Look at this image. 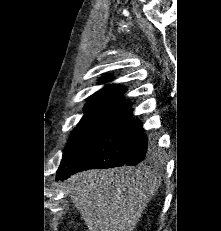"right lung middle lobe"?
I'll use <instances>...</instances> for the list:
<instances>
[{"label": "right lung middle lobe", "mask_w": 221, "mask_h": 231, "mask_svg": "<svg viewBox=\"0 0 221 231\" xmlns=\"http://www.w3.org/2000/svg\"><path fill=\"white\" fill-rule=\"evenodd\" d=\"M130 106V102L120 99L101 98L88 100L85 105L86 112L79 125L71 133L59 168L70 164L95 141L110 121Z\"/></svg>", "instance_id": "obj_1"}]
</instances>
